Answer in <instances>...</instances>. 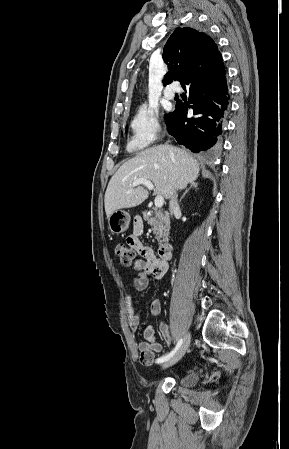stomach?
<instances>
[{"label":"stomach","mask_w":289,"mask_h":449,"mask_svg":"<svg viewBox=\"0 0 289 449\" xmlns=\"http://www.w3.org/2000/svg\"><path fill=\"white\" fill-rule=\"evenodd\" d=\"M130 215L124 210H116L108 218V226L112 233L119 234L129 227Z\"/></svg>","instance_id":"obj_1"}]
</instances>
